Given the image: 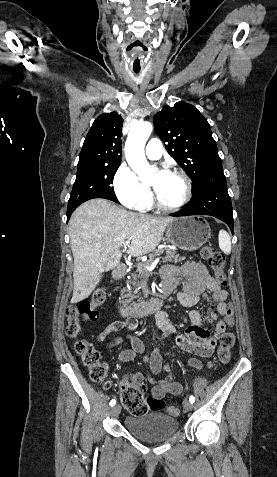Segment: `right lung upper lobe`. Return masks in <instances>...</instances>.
Listing matches in <instances>:
<instances>
[{"label": "right lung upper lobe", "mask_w": 277, "mask_h": 477, "mask_svg": "<svg viewBox=\"0 0 277 477\" xmlns=\"http://www.w3.org/2000/svg\"><path fill=\"white\" fill-rule=\"evenodd\" d=\"M122 125L117 112L97 117L85 138L77 169L120 165Z\"/></svg>", "instance_id": "right-lung-upper-lobe-1"}]
</instances>
